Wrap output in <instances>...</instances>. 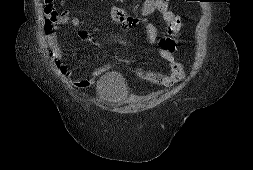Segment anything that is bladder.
Wrapping results in <instances>:
<instances>
[{"instance_id":"bladder-1","label":"bladder","mask_w":253,"mask_h":170,"mask_svg":"<svg viewBox=\"0 0 253 170\" xmlns=\"http://www.w3.org/2000/svg\"><path fill=\"white\" fill-rule=\"evenodd\" d=\"M97 94L106 102H122L128 93V85L124 77L116 72L105 73L96 84Z\"/></svg>"}]
</instances>
